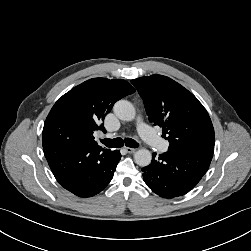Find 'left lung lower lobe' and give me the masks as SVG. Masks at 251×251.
Wrapping results in <instances>:
<instances>
[{
  "instance_id": "1",
  "label": "left lung lower lobe",
  "mask_w": 251,
  "mask_h": 251,
  "mask_svg": "<svg viewBox=\"0 0 251 251\" xmlns=\"http://www.w3.org/2000/svg\"><path fill=\"white\" fill-rule=\"evenodd\" d=\"M213 154L168 149L153 155L150 165L143 167V179L149 188L164 198L182 196L192 190L207 172Z\"/></svg>"
}]
</instances>
